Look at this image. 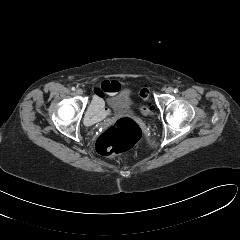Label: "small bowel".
<instances>
[{
    "instance_id": "small-bowel-1",
    "label": "small bowel",
    "mask_w": 240,
    "mask_h": 240,
    "mask_svg": "<svg viewBox=\"0 0 240 240\" xmlns=\"http://www.w3.org/2000/svg\"><path fill=\"white\" fill-rule=\"evenodd\" d=\"M120 89L117 81H104L99 87L94 89V96L86 113L85 121L88 125L98 123L107 117L110 111L104 105L105 95H113Z\"/></svg>"
}]
</instances>
